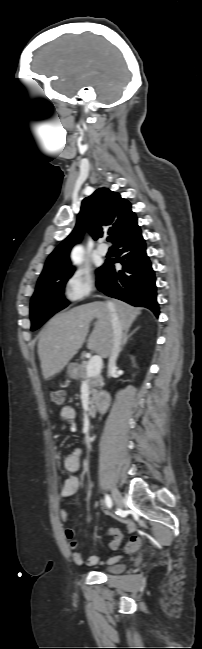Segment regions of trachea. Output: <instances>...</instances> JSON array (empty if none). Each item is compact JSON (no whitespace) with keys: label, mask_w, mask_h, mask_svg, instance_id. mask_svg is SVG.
<instances>
[{"label":"trachea","mask_w":202,"mask_h":649,"mask_svg":"<svg viewBox=\"0 0 202 649\" xmlns=\"http://www.w3.org/2000/svg\"><path fill=\"white\" fill-rule=\"evenodd\" d=\"M107 241L110 242V241H111V237H108V238H107Z\"/></svg>","instance_id":"trachea-1"}]
</instances>
